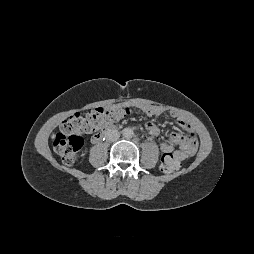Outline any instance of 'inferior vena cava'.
Wrapping results in <instances>:
<instances>
[{
    "mask_svg": "<svg viewBox=\"0 0 254 254\" xmlns=\"http://www.w3.org/2000/svg\"><path fill=\"white\" fill-rule=\"evenodd\" d=\"M120 133L117 130L110 129L105 132V138L108 142H115L119 139Z\"/></svg>",
    "mask_w": 254,
    "mask_h": 254,
    "instance_id": "inferior-vena-cava-1",
    "label": "inferior vena cava"
}]
</instances>
